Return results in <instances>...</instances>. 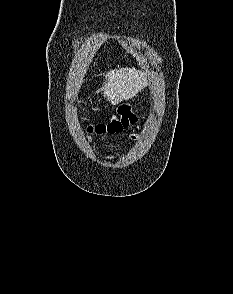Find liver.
Here are the masks:
<instances>
[{
	"instance_id": "1",
	"label": "liver",
	"mask_w": 233,
	"mask_h": 294,
	"mask_svg": "<svg viewBox=\"0 0 233 294\" xmlns=\"http://www.w3.org/2000/svg\"><path fill=\"white\" fill-rule=\"evenodd\" d=\"M104 76L106 81L98 92H103L112 105L136 96L147 85L146 75L135 68L110 70Z\"/></svg>"
}]
</instances>
